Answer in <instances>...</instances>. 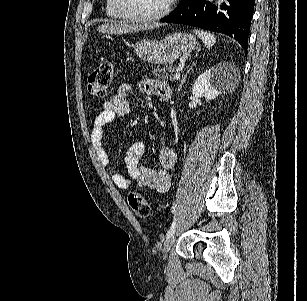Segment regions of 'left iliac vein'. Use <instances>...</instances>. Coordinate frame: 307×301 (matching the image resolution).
<instances>
[{
    "label": "left iliac vein",
    "instance_id": "left-iliac-vein-1",
    "mask_svg": "<svg viewBox=\"0 0 307 301\" xmlns=\"http://www.w3.org/2000/svg\"><path fill=\"white\" fill-rule=\"evenodd\" d=\"M175 244V237L174 235L168 237L164 243V247H163V253L166 256L169 252V250L171 249V247Z\"/></svg>",
    "mask_w": 307,
    "mask_h": 301
}]
</instances>
